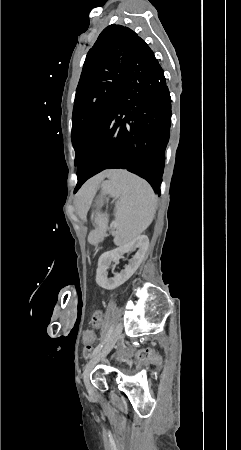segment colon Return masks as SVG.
I'll list each match as a JSON object with an SVG mask.
<instances>
[{"instance_id":"obj_1","label":"colon","mask_w":241,"mask_h":450,"mask_svg":"<svg viewBox=\"0 0 241 450\" xmlns=\"http://www.w3.org/2000/svg\"><path fill=\"white\" fill-rule=\"evenodd\" d=\"M95 335V327L93 325H90L88 328H84L83 329V336L87 339V340H92L94 338ZM94 346L91 343L86 344V346H84L82 348V356H84L85 359L89 358V354L91 353V351H93ZM138 361H142V362H149V361H154L157 362L159 360L158 355L152 351V348L150 346H144L142 348V352H139L137 354V358Z\"/></svg>"}]
</instances>
